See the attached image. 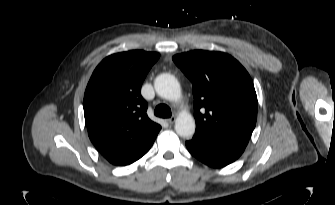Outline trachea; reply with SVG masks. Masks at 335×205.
Segmentation results:
<instances>
[{"label": "trachea", "instance_id": "obj_1", "mask_svg": "<svg viewBox=\"0 0 335 205\" xmlns=\"http://www.w3.org/2000/svg\"><path fill=\"white\" fill-rule=\"evenodd\" d=\"M154 114L161 118H169L172 115L170 107L166 104H159L155 108Z\"/></svg>", "mask_w": 335, "mask_h": 205}]
</instances>
